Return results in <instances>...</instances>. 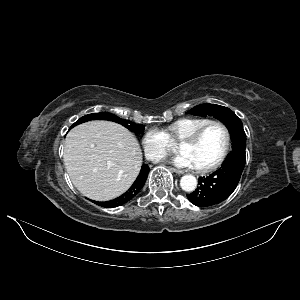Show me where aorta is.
<instances>
[{
	"instance_id": "1",
	"label": "aorta",
	"mask_w": 300,
	"mask_h": 300,
	"mask_svg": "<svg viewBox=\"0 0 300 300\" xmlns=\"http://www.w3.org/2000/svg\"><path fill=\"white\" fill-rule=\"evenodd\" d=\"M181 188L186 192H192L197 187V179L193 175H184L180 180Z\"/></svg>"
}]
</instances>
